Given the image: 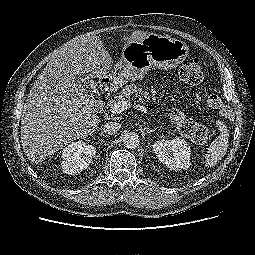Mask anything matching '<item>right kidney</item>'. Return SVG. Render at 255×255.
<instances>
[{"label":"right kidney","mask_w":255,"mask_h":255,"mask_svg":"<svg viewBox=\"0 0 255 255\" xmlns=\"http://www.w3.org/2000/svg\"><path fill=\"white\" fill-rule=\"evenodd\" d=\"M96 149L84 141L72 142L62 151V171L74 175L88 168L95 157Z\"/></svg>","instance_id":"1"}]
</instances>
